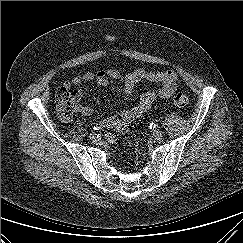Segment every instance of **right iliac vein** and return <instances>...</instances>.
Segmentation results:
<instances>
[{"label":"right iliac vein","mask_w":243,"mask_h":243,"mask_svg":"<svg viewBox=\"0 0 243 243\" xmlns=\"http://www.w3.org/2000/svg\"><path fill=\"white\" fill-rule=\"evenodd\" d=\"M89 138H90V140H91L92 142H97V140H98V135H97L96 133H91V134L89 135Z\"/></svg>","instance_id":"right-iliac-vein-1"}]
</instances>
